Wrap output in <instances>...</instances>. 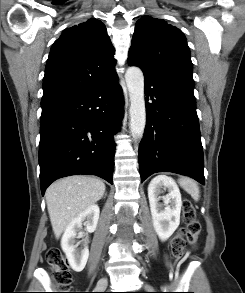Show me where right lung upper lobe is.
<instances>
[{"mask_svg":"<svg viewBox=\"0 0 245 293\" xmlns=\"http://www.w3.org/2000/svg\"><path fill=\"white\" fill-rule=\"evenodd\" d=\"M114 51L100 20L89 19L65 29L47 60L42 109L76 97L116 75Z\"/></svg>","mask_w":245,"mask_h":293,"instance_id":"obj_1","label":"right lung upper lobe"}]
</instances>
